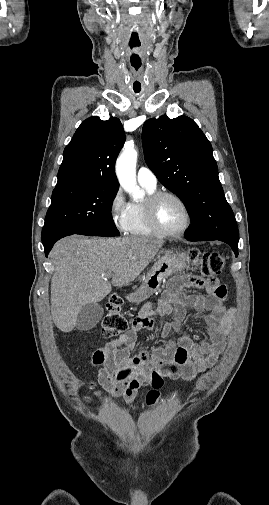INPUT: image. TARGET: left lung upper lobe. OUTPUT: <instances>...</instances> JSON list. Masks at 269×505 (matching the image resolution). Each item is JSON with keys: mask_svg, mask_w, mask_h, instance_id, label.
<instances>
[{"mask_svg": "<svg viewBox=\"0 0 269 505\" xmlns=\"http://www.w3.org/2000/svg\"><path fill=\"white\" fill-rule=\"evenodd\" d=\"M145 161L158 180L186 205L195 241H239L236 220L218 177L210 142L189 117L163 115L144 123Z\"/></svg>", "mask_w": 269, "mask_h": 505, "instance_id": "left-lung-upper-lobe-1", "label": "left lung upper lobe"}]
</instances>
